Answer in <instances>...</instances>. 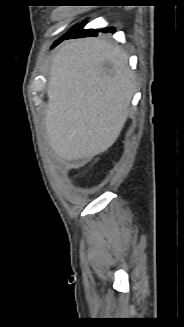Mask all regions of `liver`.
Segmentation results:
<instances>
[{"instance_id":"6515ba94","label":"liver","mask_w":184,"mask_h":327,"mask_svg":"<svg viewBox=\"0 0 184 327\" xmlns=\"http://www.w3.org/2000/svg\"><path fill=\"white\" fill-rule=\"evenodd\" d=\"M135 78L127 55L101 39L70 41L50 65L45 129L53 151L88 160L118 138L129 114Z\"/></svg>"}]
</instances>
